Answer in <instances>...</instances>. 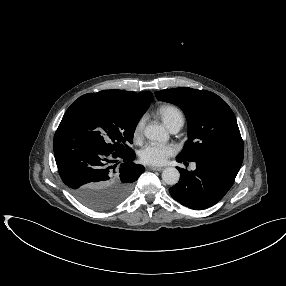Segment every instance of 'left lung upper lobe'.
<instances>
[{
	"mask_svg": "<svg viewBox=\"0 0 286 286\" xmlns=\"http://www.w3.org/2000/svg\"><path fill=\"white\" fill-rule=\"evenodd\" d=\"M158 100L178 105L188 122V141L178 155L187 161L202 157L243 161V140L236 117L228 104L215 93L188 87L156 91Z\"/></svg>",
	"mask_w": 286,
	"mask_h": 286,
	"instance_id": "1",
	"label": "left lung upper lobe"
}]
</instances>
